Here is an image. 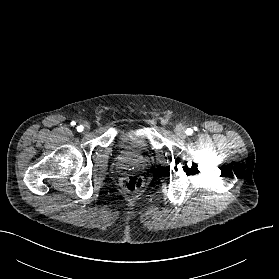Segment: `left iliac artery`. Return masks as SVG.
<instances>
[{
	"label": "left iliac artery",
	"mask_w": 279,
	"mask_h": 279,
	"mask_svg": "<svg viewBox=\"0 0 279 279\" xmlns=\"http://www.w3.org/2000/svg\"><path fill=\"white\" fill-rule=\"evenodd\" d=\"M193 133V130L191 129V128H188L187 130H186V134L187 135H191Z\"/></svg>",
	"instance_id": "1"
}]
</instances>
